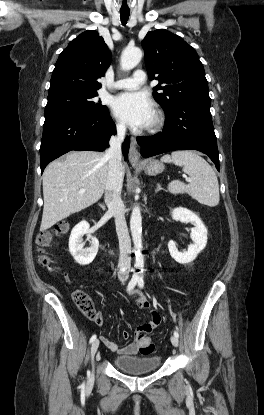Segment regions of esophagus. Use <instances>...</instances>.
Wrapping results in <instances>:
<instances>
[{
  "label": "esophagus",
  "instance_id": "34e87169",
  "mask_svg": "<svg viewBox=\"0 0 264 415\" xmlns=\"http://www.w3.org/2000/svg\"><path fill=\"white\" fill-rule=\"evenodd\" d=\"M128 158L131 164H136L140 160V154L137 149L136 138L133 136L130 138V148H129Z\"/></svg>",
  "mask_w": 264,
  "mask_h": 415
}]
</instances>
